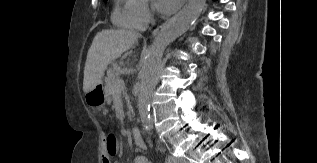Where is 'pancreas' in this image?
I'll return each instance as SVG.
<instances>
[{"instance_id":"pancreas-1","label":"pancreas","mask_w":317,"mask_h":163,"mask_svg":"<svg viewBox=\"0 0 317 163\" xmlns=\"http://www.w3.org/2000/svg\"><path fill=\"white\" fill-rule=\"evenodd\" d=\"M118 63L115 62L112 64V67L108 69L107 71V77L105 78V91L107 92L108 96H111V99L114 98L118 93H120L123 97H125L129 111L128 113L130 114L132 112L131 105L129 103V100L127 99V96L125 92L118 91L116 89V81L119 79L118 77Z\"/></svg>"}]
</instances>
